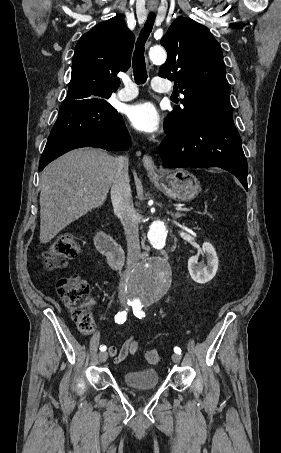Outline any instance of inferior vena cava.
<instances>
[{
  "mask_svg": "<svg viewBox=\"0 0 281 453\" xmlns=\"http://www.w3.org/2000/svg\"><path fill=\"white\" fill-rule=\"evenodd\" d=\"M116 178L111 188V200L115 214L120 218L127 241V269L123 273L119 283V299H126L125 285L126 279L139 261L140 243L138 235V218L134 210L129 184L127 156H117Z\"/></svg>",
  "mask_w": 281,
  "mask_h": 453,
  "instance_id": "1",
  "label": "inferior vena cava"
}]
</instances>
